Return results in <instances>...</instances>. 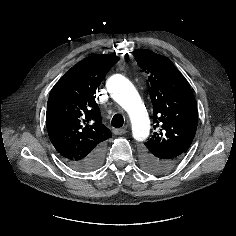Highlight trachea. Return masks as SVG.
Listing matches in <instances>:
<instances>
[{
  "mask_svg": "<svg viewBox=\"0 0 236 236\" xmlns=\"http://www.w3.org/2000/svg\"><path fill=\"white\" fill-rule=\"evenodd\" d=\"M124 123V119L123 116L121 114H115L111 120V125L114 128H120L123 126Z\"/></svg>",
  "mask_w": 236,
  "mask_h": 236,
  "instance_id": "1",
  "label": "trachea"
}]
</instances>
